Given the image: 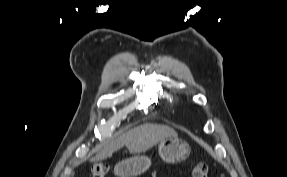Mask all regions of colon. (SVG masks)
<instances>
[{"instance_id": "5ec220e1", "label": "colon", "mask_w": 287, "mask_h": 177, "mask_svg": "<svg viewBox=\"0 0 287 177\" xmlns=\"http://www.w3.org/2000/svg\"><path fill=\"white\" fill-rule=\"evenodd\" d=\"M109 168V164L106 162L94 164L91 169L92 177H105ZM208 171V165L205 162H199L190 167L189 177H208Z\"/></svg>"}]
</instances>
